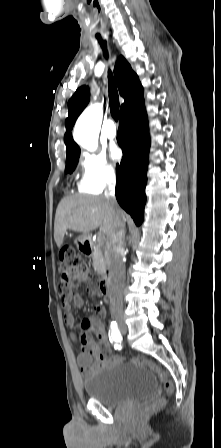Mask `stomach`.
<instances>
[{
  "label": "stomach",
  "instance_id": "obj_1",
  "mask_svg": "<svg viewBox=\"0 0 221 448\" xmlns=\"http://www.w3.org/2000/svg\"><path fill=\"white\" fill-rule=\"evenodd\" d=\"M85 239H86L85 235L79 236V238H78L79 241H84Z\"/></svg>",
  "mask_w": 221,
  "mask_h": 448
}]
</instances>
